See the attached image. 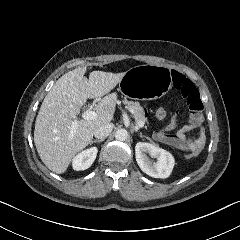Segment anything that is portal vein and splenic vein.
<instances>
[{
  "mask_svg": "<svg viewBox=\"0 0 240 240\" xmlns=\"http://www.w3.org/2000/svg\"><path fill=\"white\" fill-rule=\"evenodd\" d=\"M82 118L85 119V120H94V119L97 118V113L95 111H88L87 110L82 114ZM136 122L143 128L146 126L145 123L142 120L138 119ZM76 129H77V120L73 121L72 126L70 128L71 136H73L75 134Z\"/></svg>",
  "mask_w": 240,
  "mask_h": 240,
  "instance_id": "1",
  "label": "portal vein and splenic vein"
}]
</instances>
